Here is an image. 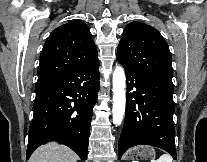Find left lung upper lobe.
Instances as JSON below:
<instances>
[{
	"label": "left lung upper lobe",
	"mask_w": 207,
	"mask_h": 162,
	"mask_svg": "<svg viewBox=\"0 0 207 162\" xmlns=\"http://www.w3.org/2000/svg\"><path fill=\"white\" fill-rule=\"evenodd\" d=\"M117 60L140 73L172 81V58L169 47L154 27L129 23L119 43Z\"/></svg>",
	"instance_id": "1"
}]
</instances>
